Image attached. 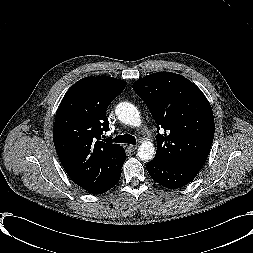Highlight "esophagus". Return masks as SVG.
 Masks as SVG:
<instances>
[{
	"mask_svg": "<svg viewBox=\"0 0 253 253\" xmlns=\"http://www.w3.org/2000/svg\"><path fill=\"white\" fill-rule=\"evenodd\" d=\"M131 152H134L137 149L136 145H128L127 147Z\"/></svg>",
	"mask_w": 253,
	"mask_h": 253,
	"instance_id": "obj_1",
	"label": "esophagus"
}]
</instances>
